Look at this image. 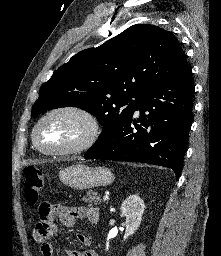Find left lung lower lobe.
Segmentation results:
<instances>
[{
    "instance_id": "left-lung-lower-lobe-1",
    "label": "left lung lower lobe",
    "mask_w": 221,
    "mask_h": 256,
    "mask_svg": "<svg viewBox=\"0 0 221 256\" xmlns=\"http://www.w3.org/2000/svg\"><path fill=\"white\" fill-rule=\"evenodd\" d=\"M194 92L192 72L186 63L143 97L135 111L149 114L137 119L140 125L131 127L132 122L136 124L132 115L100 136L84 157L164 166L171 168L178 179L192 122Z\"/></svg>"
}]
</instances>
